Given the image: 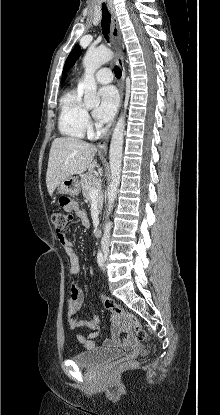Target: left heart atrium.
I'll use <instances>...</instances> for the list:
<instances>
[{"mask_svg":"<svg viewBox=\"0 0 220 415\" xmlns=\"http://www.w3.org/2000/svg\"><path fill=\"white\" fill-rule=\"evenodd\" d=\"M100 103L94 112L95 118L101 123L110 122L118 107L119 97L113 86H105L99 91Z\"/></svg>","mask_w":220,"mask_h":415,"instance_id":"left-heart-atrium-1","label":"left heart atrium"}]
</instances>
